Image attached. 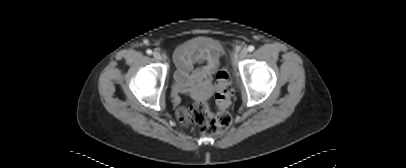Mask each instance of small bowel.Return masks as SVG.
<instances>
[{"label": "small bowel", "mask_w": 406, "mask_h": 168, "mask_svg": "<svg viewBox=\"0 0 406 168\" xmlns=\"http://www.w3.org/2000/svg\"><path fill=\"white\" fill-rule=\"evenodd\" d=\"M221 57V49L215 45H200L192 48H178L174 54V60L178 69L177 78L184 83L191 76L198 79L208 80L216 71ZM201 64L193 70L195 64ZM178 103L179 99L175 98Z\"/></svg>", "instance_id": "small-bowel-1"}]
</instances>
